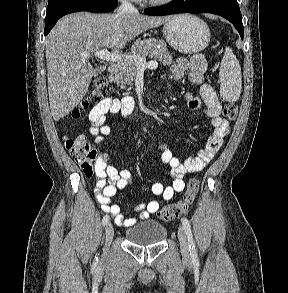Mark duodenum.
Returning <instances> with one entry per match:
<instances>
[{"label":"duodenum","instance_id":"1","mask_svg":"<svg viewBox=\"0 0 288 293\" xmlns=\"http://www.w3.org/2000/svg\"><path fill=\"white\" fill-rule=\"evenodd\" d=\"M120 70V65L118 63H112L108 67V76L110 80H113L114 77L118 74Z\"/></svg>","mask_w":288,"mask_h":293}]
</instances>
